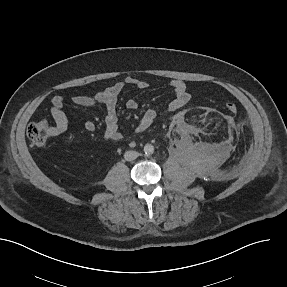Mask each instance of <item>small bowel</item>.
I'll list each match as a JSON object with an SVG mask.
<instances>
[{
    "instance_id": "c3829d8e",
    "label": "small bowel",
    "mask_w": 287,
    "mask_h": 287,
    "mask_svg": "<svg viewBox=\"0 0 287 287\" xmlns=\"http://www.w3.org/2000/svg\"><path fill=\"white\" fill-rule=\"evenodd\" d=\"M127 86L146 89L148 83L144 80L128 76L123 80L91 94L76 95L71 98V103L82 107H103L105 111L104 137L109 141H120L123 135L119 128L117 101L119 94ZM170 87L174 93V98L169 102L166 110L167 112H174L185 106L190 101L191 96L187 91L186 84L182 80H172ZM64 105L65 102L62 96H55L51 100L50 111L55 122L53 131L57 134L63 133L68 126V117L64 111ZM126 108L136 110L138 108V102L135 99H129L126 102ZM157 115L158 112L155 109L146 110L142 117L135 123L133 130L137 133L146 131L152 126ZM85 128L88 131H94L96 125L93 121H86Z\"/></svg>"
}]
</instances>
